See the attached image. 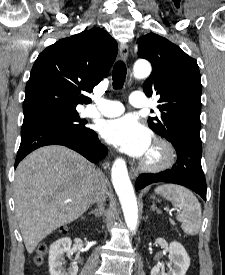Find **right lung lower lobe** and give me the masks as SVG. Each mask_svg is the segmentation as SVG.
<instances>
[{
  "mask_svg": "<svg viewBox=\"0 0 225 275\" xmlns=\"http://www.w3.org/2000/svg\"><path fill=\"white\" fill-rule=\"evenodd\" d=\"M54 144L69 147L94 163L103 159L107 153V148L100 143L93 130L79 133L54 123L35 121L22 125L15 167L33 150Z\"/></svg>",
  "mask_w": 225,
  "mask_h": 275,
  "instance_id": "98d812e1",
  "label": "right lung lower lobe"
}]
</instances>
